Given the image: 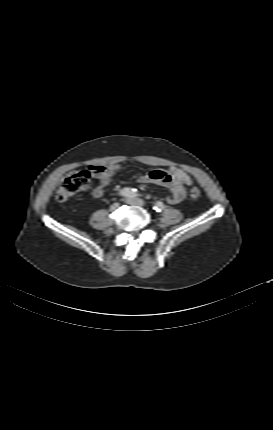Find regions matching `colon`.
Returning a JSON list of instances; mask_svg holds the SVG:
<instances>
[{
	"mask_svg": "<svg viewBox=\"0 0 273 430\" xmlns=\"http://www.w3.org/2000/svg\"><path fill=\"white\" fill-rule=\"evenodd\" d=\"M91 174L88 173V169L80 170L70 173L65 177L56 191L55 197L59 202H64L74 197L79 192L88 188L90 184ZM189 195L191 198H198L201 192L198 188L194 187L190 190Z\"/></svg>",
	"mask_w": 273,
	"mask_h": 430,
	"instance_id": "colon-1",
	"label": "colon"
}]
</instances>
